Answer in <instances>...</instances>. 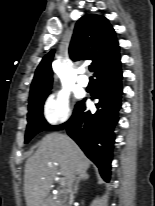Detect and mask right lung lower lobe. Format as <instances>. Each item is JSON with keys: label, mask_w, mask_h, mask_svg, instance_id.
<instances>
[{"label": "right lung lower lobe", "mask_w": 155, "mask_h": 206, "mask_svg": "<svg viewBox=\"0 0 155 206\" xmlns=\"http://www.w3.org/2000/svg\"><path fill=\"white\" fill-rule=\"evenodd\" d=\"M120 58L96 79L98 88L97 112L92 114L79 102L70 120L52 130L66 129L68 135L80 146L87 157L99 168L105 181L110 179V166L114 143V127L121 107L122 71Z\"/></svg>", "instance_id": "right-lung-lower-lobe-1"}]
</instances>
